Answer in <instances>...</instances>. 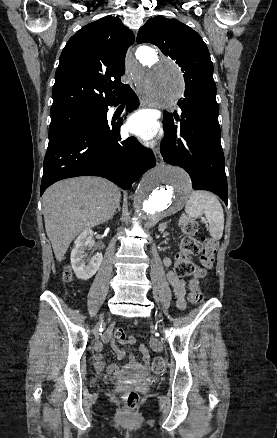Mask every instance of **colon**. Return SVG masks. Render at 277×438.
Instances as JSON below:
<instances>
[{
    "label": "colon",
    "instance_id": "obj_1",
    "mask_svg": "<svg viewBox=\"0 0 277 438\" xmlns=\"http://www.w3.org/2000/svg\"><path fill=\"white\" fill-rule=\"evenodd\" d=\"M183 237L180 242L178 256L175 261L176 274L181 277H192L189 282L188 299L191 303L198 304L203 299L202 291L199 288L198 279L203 277L212 267L216 251V243L213 238L199 236L200 225L196 221L187 218L180 221ZM200 256L201 265L193 262L195 256ZM115 337L121 342L132 344V338H128L122 328H115ZM165 368V360L158 356L154 359L153 369L155 373H162ZM122 398L124 409L140 408V392L138 389H119L117 392Z\"/></svg>",
    "mask_w": 277,
    "mask_h": 438
}]
</instances>
